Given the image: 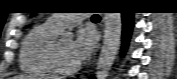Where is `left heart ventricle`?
Listing matches in <instances>:
<instances>
[{
    "mask_svg": "<svg viewBox=\"0 0 177 79\" xmlns=\"http://www.w3.org/2000/svg\"><path fill=\"white\" fill-rule=\"evenodd\" d=\"M71 45L72 42L69 39L61 40L58 42V51H59L61 62L67 68L74 67L78 64L74 59V57L72 56Z\"/></svg>",
    "mask_w": 177,
    "mask_h": 79,
    "instance_id": "obj_1",
    "label": "left heart ventricle"
}]
</instances>
